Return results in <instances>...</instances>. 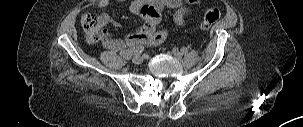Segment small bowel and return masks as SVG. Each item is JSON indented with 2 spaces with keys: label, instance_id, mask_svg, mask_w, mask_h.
Wrapping results in <instances>:
<instances>
[{
  "label": "small bowel",
  "instance_id": "small-bowel-1",
  "mask_svg": "<svg viewBox=\"0 0 303 127\" xmlns=\"http://www.w3.org/2000/svg\"><path fill=\"white\" fill-rule=\"evenodd\" d=\"M112 0H95L92 7L95 9L106 8ZM117 2H126L127 0H115ZM196 2V0H189ZM165 9H173L174 22L178 26H185L187 22V8L182 0H133L130 5V10L135 15L144 19V23L140 29L129 34L125 40L113 39L106 36L102 44L105 48L114 51H124L127 47L137 46H156L165 41L167 32L158 30L157 26L161 21L162 12ZM99 22L102 26H107L113 23L112 19L107 14L99 16Z\"/></svg>",
  "mask_w": 303,
  "mask_h": 127
}]
</instances>
